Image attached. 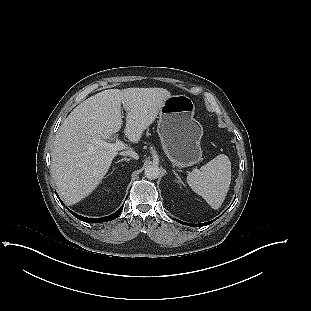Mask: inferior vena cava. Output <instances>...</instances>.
I'll use <instances>...</instances> for the list:
<instances>
[{
    "label": "inferior vena cava",
    "mask_w": 311,
    "mask_h": 311,
    "mask_svg": "<svg viewBox=\"0 0 311 311\" xmlns=\"http://www.w3.org/2000/svg\"><path fill=\"white\" fill-rule=\"evenodd\" d=\"M121 155L130 156V157H132L133 159H136V160L139 159V155L135 151H125V152H122Z\"/></svg>",
    "instance_id": "602c4592"
}]
</instances>
